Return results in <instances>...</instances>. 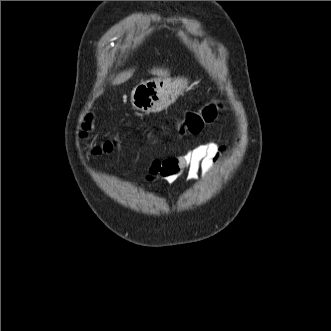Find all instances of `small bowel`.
I'll use <instances>...</instances> for the list:
<instances>
[{"mask_svg":"<svg viewBox=\"0 0 331 331\" xmlns=\"http://www.w3.org/2000/svg\"><path fill=\"white\" fill-rule=\"evenodd\" d=\"M228 152V146L209 142L166 160H154L148 167L144 181L170 184L182 173H186L188 181H194L198 177H207Z\"/></svg>","mask_w":331,"mask_h":331,"instance_id":"obj_1","label":"small bowel"}]
</instances>
